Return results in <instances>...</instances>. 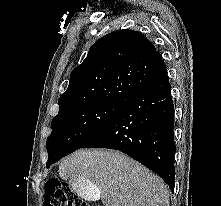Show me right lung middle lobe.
I'll use <instances>...</instances> for the list:
<instances>
[{
	"label": "right lung middle lobe",
	"mask_w": 221,
	"mask_h": 206,
	"mask_svg": "<svg viewBox=\"0 0 221 206\" xmlns=\"http://www.w3.org/2000/svg\"><path fill=\"white\" fill-rule=\"evenodd\" d=\"M123 106L94 103L58 113L52 120L47 139L49 158L46 167L76 151L104 129Z\"/></svg>",
	"instance_id": "obj_1"
}]
</instances>
